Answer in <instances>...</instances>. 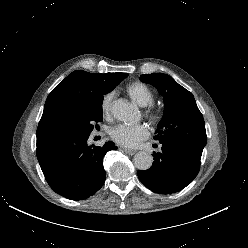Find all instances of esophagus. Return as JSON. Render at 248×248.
Masks as SVG:
<instances>
[{
  "label": "esophagus",
  "instance_id": "obj_1",
  "mask_svg": "<svg viewBox=\"0 0 248 248\" xmlns=\"http://www.w3.org/2000/svg\"><path fill=\"white\" fill-rule=\"evenodd\" d=\"M123 150L129 154V155H133L136 153V150H132V149H129V148H123Z\"/></svg>",
  "mask_w": 248,
  "mask_h": 248
}]
</instances>
